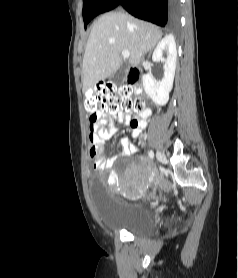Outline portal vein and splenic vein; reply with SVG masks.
Segmentation results:
<instances>
[{"label":"portal vein and splenic vein","mask_w":238,"mask_h":278,"mask_svg":"<svg viewBox=\"0 0 238 278\" xmlns=\"http://www.w3.org/2000/svg\"><path fill=\"white\" fill-rule=\"evenodd\" d=\"M122 56H123L124 58H129V57H130V52L127 51V50H124V51H122Z\"/></svg>","instance_id":"1"}]
</instances>
